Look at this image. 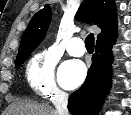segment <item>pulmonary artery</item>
<instances>
[{"label": "pulmonary artery", "mask_w": 131, "mask_h": 115, "mask_svg": "<svg viewBox=\"0 0 131 115\" xmlns=\"http://www.w3.org/2000/svg\"><path fill=\"white\" fill-rule=\"evenodd\" d=\"M67 51L71 56H82L85 53L83 40L80 37H73L67 45Z\"/></svg>", "instance_id": "obj_1"}]
</instances>
